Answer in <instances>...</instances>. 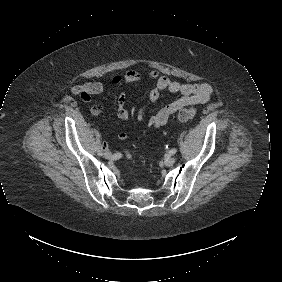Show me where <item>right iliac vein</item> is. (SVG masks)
I'll return each mask as SVG.
<instances>
[{"label":"right iliac vein","instance_id":"1","mask_svg":"<svg viewBox=\"0 0 282 282\" xmlns=\"http://www.w3.org/2000/svg\"><path fill=\"white\" fill-rule=\"evenodd\" d=\"M104 157H105L106 159H110V158L112 157V154H111L109 151H105Z\"/></svg>","mask_w":282,"mask_h":282}]
</instances>
